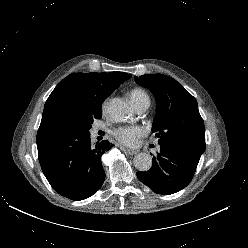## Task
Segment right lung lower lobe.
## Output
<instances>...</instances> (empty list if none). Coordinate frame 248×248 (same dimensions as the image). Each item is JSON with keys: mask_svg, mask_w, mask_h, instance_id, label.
<instances>
[{"mask_svg": "<svg viewBox=\"0 0 248 248\" xmlns=\"http://www.w3.org/2000/svg\"><path fill=\"white\" fill-rule=\"evenodd\" d=\"M107 140L91 145L90 133L67 127L37 144L42 171L52 188L72 200L92 196L105 180L103 153L112 148Z\"/></svg>", "mask_w": 248, "mask_h": 248, "instance_id": "obj_1", "label": "right lung lower lobe"}]
</instances>
